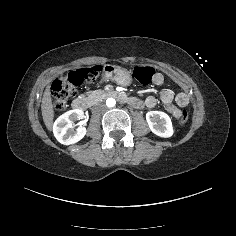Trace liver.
Returning <instances> with one entry per match:
<instances>
[{
  "label": "liver",
  "mask_w": 236,
  "mask_h": 236,
  "mask_svg": "<svg viewBox=\"0 0 236 236\" xmlns=\"http://www.w3.org/2000/svg\"><path fill=\"white\" fill-rule=\"evenodd\" d=\"M41 113L43 122L49 132L53 131L54 106L51 96V86L47 85L41 101Z\"/></svg>",
  "instance_id": "liver-1"
}]
</instances>
